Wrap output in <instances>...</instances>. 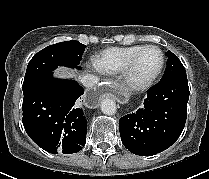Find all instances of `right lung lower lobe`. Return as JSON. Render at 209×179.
Returning a JSON list of instances; mask_svg holds the SVG:
<instances>
[{"mask_svg":"<svg viewBox=\"0 0 209 179\" xmlns=\"http://www.w3.org/2000/svg\"><path fill=\"white\" fill-rule=\"evenodd\" d=\"M38 79L23 93L22 122L29 137L45 151L71 154L86 142V120L77 108L84 89L73 80Z\"/></svg>","mask_w":209,"mask_h":179,"instance_id":"98d812e1","label":"right lung lower lobe"}]
</instances>
